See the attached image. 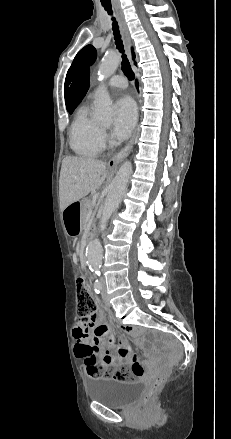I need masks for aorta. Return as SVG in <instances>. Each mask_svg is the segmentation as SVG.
<instances>
[{"mask_svg": "<svg viewBox=\"0 0 231 439\" xmlns=\"http://www.w3.org/2000/svg\"><path fill=\"white\" fill-rule=\"evenodd\" d=\"M120 56L117 53L107 54L101 61L98 75L101 80L109 78L117 69ZM113 107L110 96L104 86H101L100 94L96 102L95 118L101 122H111ZM132 174V164L127 161L121 165L115 178L113 179L109 193L106 197L102 216L99 223V232L106 229V224L112 213L118 208L122 197L127 189L130 175ZM86 257L89 268L98 273L103 259V248L99 239L95 238L89 242L86 249Z\"/></svg>", "mask_w": 231, "mask_h": 439, "instance_id": "aorta-1", "label": "aorta"}]
</instances>
